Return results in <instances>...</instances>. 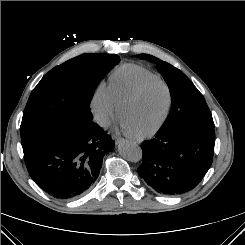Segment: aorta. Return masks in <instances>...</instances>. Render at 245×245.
I'll return each instance as SVG.
<instances>
[{"label":"aorta","mask_w":245,"mask_h":245,"mask_svg":"<svg viewBox=\"0 0 245 245\" xmlns=\"http://www.w3.org/2000/svg\"><path fill=\"white\" fill-rule=\"evenodd\" d=\"M119 154L130 162H139L142 159V149L136 143L123 141L118 146Z\"/></svg>","instance_id":"1"}]
</instances>
